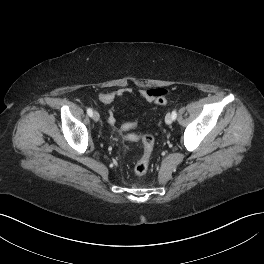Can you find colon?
<instances>
[{
  "instance_id": "5ec220e1",
  "label": "colon",
  "mask_w": 264,
  "mask_h": 264,
  "mask_svg": "<svg viewBox=\"0 0 264 264\" xmlns=\"http://www.w3.org/2000/svg\"><path fill=\"white\" fill-rule=\"evenodd\" d=\"M167 102L165 97H159L155 100V104L157 105H165ZM135 122L125 123L121 128L122 136L129 141H140L143 145V153L139 160L136 162L133 172L136 176L144 175L151 161L153 149H154V138L150 135H137L134 133H130V130L136 127Z\"/></svg>"
}]
</instances>
